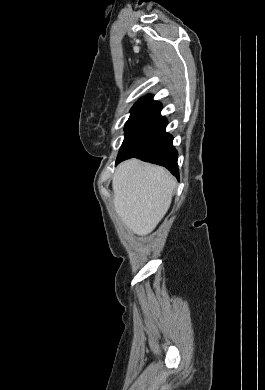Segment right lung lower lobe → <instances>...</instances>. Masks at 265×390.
<instances>
[{"label":"right lung lower lobe","mask_w":265,"mask_h":390,"mask_svg":"<svg viewBox=\"0 0 265 390\" xmlns=\"http://www.w3.org/2000/svg\"><path fill=\"white\" fill-rule=\"evenodd\" d=\"M161 109L159 102H153L132 122L125 133L116 164L137 157L164 166L179 178L178 154L172 146V136L165 132L167 120L161 116Z\"/></svg>","instance_id":"obj_1"}]
</instances>
